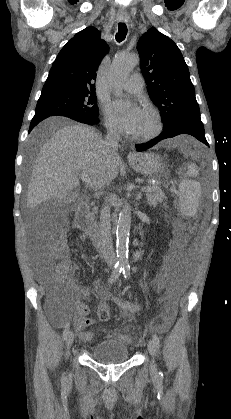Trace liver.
<instances>
[{"mask_svg": "<svg viewBox=\"0 0 231 419\" xmlns=\"http://www.w3.org/2000/svg\"><path fill=\"white\" fill-rule=\"evenodd\" d=\"M58 118L47 121L58 122ZM120 158L106 151L104 140L91 128L69 124L60 128L41 147L28 185L27 206L63 198L76 189L78 173L90 177L97 188L109 184L119 173Z\"/></svg>", "mask_w": 231, "mask_h": 419, "instance_id": "6515ba94", "label": "liver"}]
</instances>
